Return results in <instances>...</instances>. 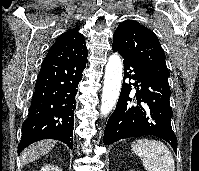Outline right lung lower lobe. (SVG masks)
<instances>
[{"label":"right lung lower lobe","instance_id":"obj_1","mask_svg":"<svg viewBox=\"0 0 199 171\" xmlns=\"http://www.w3.org/2000/svg\"><path fill=\"white\" fill-rule=\"evenodd\" d=\"M86 63L87 57L42 63L28 117L22 124L18 153L43 139L59 140L73 148L75 97Z\"/></svg>","mask_w":199,"mask_h":171}]
</instances>
